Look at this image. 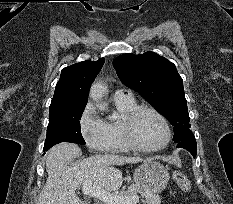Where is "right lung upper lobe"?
Wrapping results in <instances>:
<instances>
[{
    "instance_id": "obj_1",
    "label": "right lung upper lobe",
    "mask_w": 233,
    "mask_h": 204,
    "mask_svg": "<svg viewBox=\"0 0 233 204\" xmlns=\"http://www.w3.org/2000/svg\"><path fill=\"white\" fill-rule=\"evenodd\" d=\"M103 63L104 58H101L98 61L79 62L62 69L51 106L86 103L89 88Z\"/></svg>"
}]
</instances>
